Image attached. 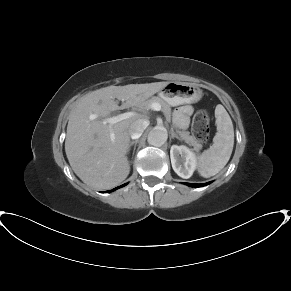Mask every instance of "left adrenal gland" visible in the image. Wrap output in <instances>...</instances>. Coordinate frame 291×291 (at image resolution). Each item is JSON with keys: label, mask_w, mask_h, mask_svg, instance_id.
Segmentation results:
<instances>
[{"label": "left adrenal gland", "mask_w": 291, "mask_h": 291, "mask_svg": "<svg viewBox=\"0 0 291 291\" xmlns=\"http://www.w3.org/2000/svg\"><path fill=\"white\" fill-rule=\"evenodd\" d=\"M171 137L181 140L180 137L174 131L171 132Z\"/></svg>", "instance_id": "1"}]
</instances>
